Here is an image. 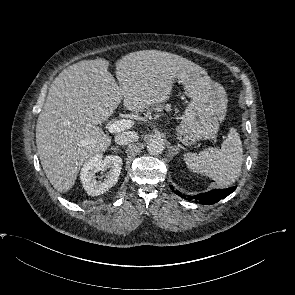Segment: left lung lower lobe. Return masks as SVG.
Returning <instances> with one entry per match:
<instances>
[{
	"label": "left lung lower lobe",
	"mask_w": 295,
	"mask_h": 295,
	"mask_svg": "<svg viewBox=\"0 0 295 295\" xmlns=\"http://www.w3.org/2000/svg\"><path fill=\"white\" fill-rule=\"evenodd\" d=\"M235 190V187H230L227 189H216V190H212L200 195H196L194 197L189 196V200L191 199H195L196 201H199L201 204H214L216 202H218L219 200L227 197L228 195H230L233 191ZM176 194L181 196L182 198H186L185 195L179 193L178 191H176Z\"/></svg>",
	"instance_id": "0a47b994"
}]
</instances>
